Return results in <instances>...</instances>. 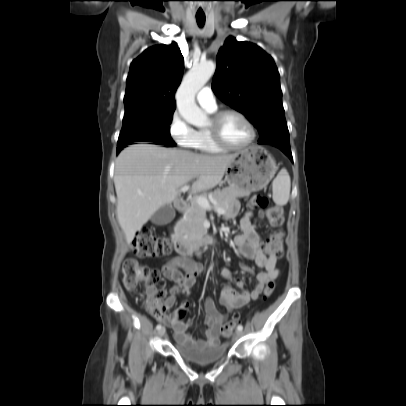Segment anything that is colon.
Listing matches in <instances>:
<instances>
[{"instance_id":"5ec220e1","label":"colon","mask_w":406,"mask_h":406,"mask_svg":"<svg viewBox=\"0 0 406 406\" xmlns=\"http://www.w3.org/2000/svg\"><path fill=\"white\" fill-rule=\"evenodd\" d=\"M251 206L264 209L263 215L266 220L274 227L283 224V212L280 208L270 206L269 200L263 195H254L249 199ZM132 246L134 252L139 257L153 258L168 255L172 251L170 242L158 236L152 229L143 228L136 233L133 238ZM267 250L273 252L276 257L283 254V233L276 232L267 240ZM123 286L129 292H137L143 288L144 297L150 313L161 319L163 310L160 306L161 299L165 296V291L157 287L161 277L157 269L144 266L136 259H127L122 266ZM274 292V283H268L264 289V298L267 299ZM182 316V314H180ZM240 316L235 314L232 319L224 323L220 329L221 335L229 336L237 324Z\"/></svg>"}]
</instances>
